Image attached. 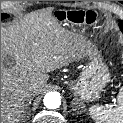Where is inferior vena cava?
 I'll use <instances>...</instances> for the list:
<instances>
[{
    "label": "inferior vena cava",
    "mask_w": 123,
    "mask_h": 123,
    "mask_svg": "<svg viewBox=\"0 0 123 123\" xmlns=\"http://www.w3.org/2000/svg\"><path fill=\"white\" fill-rule=\"evenodd\" d=\"M23 95H24L25 99H28V98H31V97L35 96V94H34V92L31 88H26L23 91Z\"/></svg>",
    "instance_id": "inferior-vena-cava-1"
}]
</instances>
